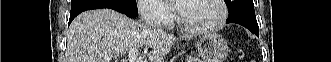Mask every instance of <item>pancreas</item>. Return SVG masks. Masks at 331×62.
Here are the masks:
<instances>
[{"mask_svg": "<svg viewBox=\"0 0 331 62\" xmlns=\"http://www.w3.org/2000/svg\"><path fill=\"white\" fill-rule=\"evenodd\" d=\"M187 62H202L199 58H196L194 56H186Z\"/></svg>", "mask_w": 331, "mask_h": 62, "instance_id": "pancreas-1", "label": "pancreas"}]
</instances>
